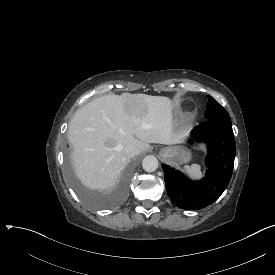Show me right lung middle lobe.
<instances>
[{
    "instance_id": "right-lung-middle-lobe-1",
    "label": "right lung middle lobe",
    "mask_w": 275,
    "mask_h": 275,
    "mask_svg": "<svg viewBox=\"0 0 275 275\" xmlns=\"http://www.w3.org/2000/svg\"><path fill=\"white\" fill-rule=\"evenodd\" d=\"M62 152V169L64 175L68 181L71 182V187L76 191L77 196L82 198L86 205L91 206L94 209H102L104 207L109 208L111 206H116L124 201L126 192L128 191L133 179L131 174H123L122 180L119 181L117 187L112 189L111 192L100 193L95 190L94 193H91V185L88 183L82 185L81 180L78 179L77 174L74 172V153L72 143L69 141L64 142L62 145ZM128 169L130 172L135 173L138 171L139 165L137 162L132 161L129 163Z\"/></svg>"
}]
</instances>
